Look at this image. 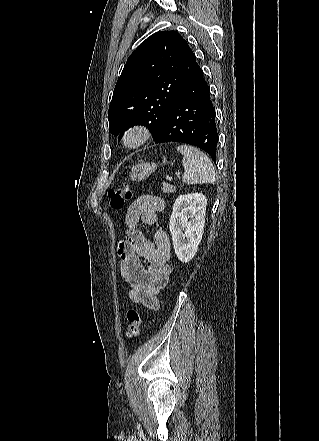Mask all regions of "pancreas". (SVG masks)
<instances>
[{"instance_id":"obj_1","label":"pancreas","mask_w":319,"mask_h":441,"mask_svg":"<svg viewBox=\"0 0 319 441\" xmlns=\"http://www.w3.org/2000/svg\"><path fill=\"white\" fill-rule=\"evenodd\" d=\"M162 191L164 193H168L169 194V193H172V192L176 191V187L171 185V184H169V183L163 182L162 183Z\"/></svg>"}]
</instances>
